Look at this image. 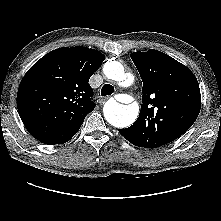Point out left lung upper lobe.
Returning <instances> with one entry per match:
<instances>
[{
	"instance_id": "left-lung-upper-lobe-1",
	"label": "left lung upper lobe",
	"mask_w": 221,
	"mask_h": 221,
	"mask_svg": "<svg viewBox=\"0 0 221 221\" xmlns=\"http://www.w3.org/2000/svg\"><path fill=\"white\" fill-rule=\"evenodd\" d=\"M143 81L138 119L128 127L132 144L156 148L180 137L201 108L198 81L189 68L157 51L132 53Z\"/></svg>"
}]
</instances>
